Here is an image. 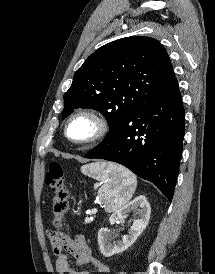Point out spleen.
<instances>
[{
	"label": "spleen",
	"mask_w": 215,
	"mask_h": 274,
	"mask_svg": "<svg viewBox=\"0 0 215 274\" xmlns=\"http://www.w3.org/2000/svg\"><path fill=\"white\" fill-rule=\"evenodd\" d=\"M81 172L103 182L98 190V199L108 212L123 207L131 199L137 186L136 177L128 169L113 163L83 165Z\"/></svg>",
	"instance_id": "spleen-1"
}]
</instances>
